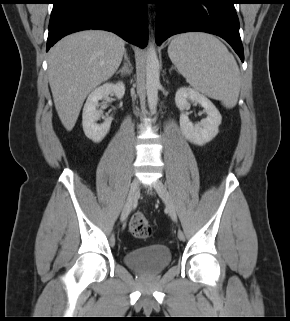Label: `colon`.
<instances>
[{
    "label": "colon",
    "instance_id": "5ec220e1",
    "mask_svg": "<svg viewBox=\"0 0 290 321\" xmlns=\"http://www.w3.org/2000/svg\"><path fill=\"white\" fill-rule=\"evenodd\" d=\"M129 231L135 238L147 239L152 233V228L145 215L136 213L129 221Z\"/></svg>",
    "mask_w": 290,
    "mask_h": 321
}]
</instances>
